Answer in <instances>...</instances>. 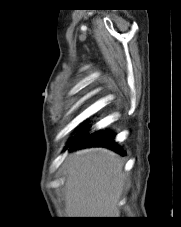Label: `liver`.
I'll use <instances>...</instances> for the list:
<instances>
[{
	"instance_id": "liver-1",
	"label": "liver",
	"mask_w": 181,
	"mask_h": 227,
	"mask_svg": "<svg viewBox=\"0 0 181 227\" xmlns=\"http://www.w3.org/2000/svg\"><path fill=\"white\" fill-rule=\"evenodd\" d=\"M64 168L67 217H119L123 158L105 148H87L69 154Z\"/></svg>"
}]
</instances>
